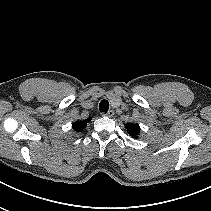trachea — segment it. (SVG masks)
<instances>
[{
	"instance_id": "3493384b",
	"label": "trachea",
	"mask_w": 211,
	"mask_h": 211,
	"mask_svg": "<svg viewBox=\"0 0 211 211\" xmlns=\"http://www.w3.org/2000/svg\"><path fill=\"white\" fill-rule=\"evenodd\" d=\"M100 112L106 113L109 110V102L107 100H102L99 104Z\"/></svg>"
}]
</instances>
